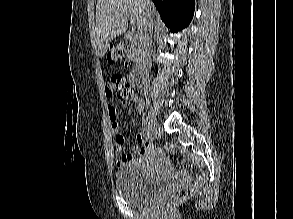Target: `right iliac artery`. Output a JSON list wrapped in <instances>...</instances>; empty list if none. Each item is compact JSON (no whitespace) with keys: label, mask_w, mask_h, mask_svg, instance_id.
Masks as SVG:
<instances>
[{"label":"right iliac artery","mask_w":293,"mask_h":219,"mask_svg":"<svg viewBox=\"0 0 293 219\" xmlns=\"http://www.w3.org/2000/svg\"><path fill=\"white\" fill-rule=\"evenodd\" d=\"M145 133H146L147 135H149V134H150V131H149V129H148V128H145Z\"/></svg>","instance_id":"obj_1"}]
</instances>
